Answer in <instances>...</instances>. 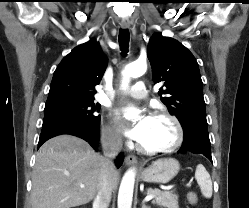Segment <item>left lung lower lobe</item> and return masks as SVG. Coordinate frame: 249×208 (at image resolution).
<instances>
[{
    "mask_svg": "<svg viewBox=\"0 0 249 208\" xmlns=\"http://www.w3.org/2000/svg\"><path fill=\"white\" fill-rule=\"evenodd\" d=\"M201 153L212 162L207 126L192 125L184 131V140L178 153Z\"/></svg>",
    "mask_w": 249,
    "mask_h": 208,
    "instance_id": "left-lung-lower-lobe-1",
    "label": "left lung lower lobe"
}]
</instances>
